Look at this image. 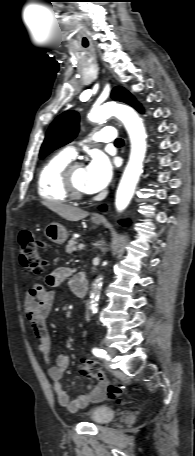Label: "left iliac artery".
Wrapping results in <instances>:
<instances>
[{"label":"left iliac artery","mask_w":195,"mask_h":456,"mask_svg":"<svg viewBox=\"0 0 195 456\" xmlns=\"http://www.w3.org/2000/svg\"><path fill=\"white\" fill-rule=\"evenodd\" d=\"M92 353L100 358H108L107 352L105 350L99 348H93Z\"/></svg>","instance_id":"1"}]
</instances>
